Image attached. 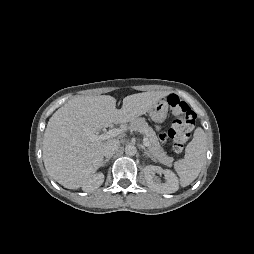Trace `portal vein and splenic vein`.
I'll list each match as a JSON object with an SVG mask.
<instances>
[{"instance_id": "portal-vein-and-splenic-vein-1", "label": "portal vein and splenic vein", "mask_w": 254, "mask_h": 254, "mask_svg": "<svg viewBox=\"0 0 254 254\" xmlns=\"http://www.w3.org/2000/svg\"><path fill=\"white\" fill-rule=\"evenodd\" d=\"M122 132H123L122 129L114 128V129H111V130H109L108 132H106L104 134H101V135L92 134V135L89 136V138L92 141L107 140V139H110V138H113V137H116V136L122 134ZM143 144L146 147L149 145L147 137H144Z\"/></svg>"}]
</instances>
